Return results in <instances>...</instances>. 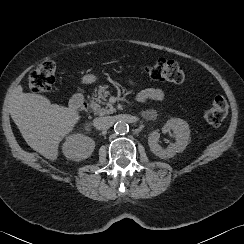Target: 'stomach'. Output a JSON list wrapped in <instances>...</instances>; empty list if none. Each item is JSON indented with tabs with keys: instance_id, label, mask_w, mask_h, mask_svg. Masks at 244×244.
Here are the masks:
<instances>
[{
	"instance_id": "stomach-1",
	"label": "stomach",
	"mask_w": 244,
	"mask_h": 244,
	"mask_svg": "<svg viewBox=\"0 0 244 244\" xmlns=\"http://www.w3.org/2000/svg\"><path fill=\"white\" fill-rule=\"evenodd\" d=\"M82 81L86 84H90L96 81V77L94 75H86L83 77Z\"/></svg>"
}]
</instances>
